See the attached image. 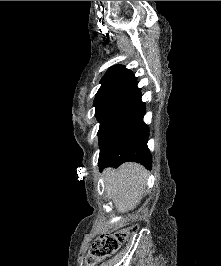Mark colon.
Masks as SVG:
<instances>
[{"label":"colon","mask_w":221,"mask_h":266,"mask_svg":"<svg viewBox=\"0 0 221 266\" xmlns=\"http://www.w3.org/2000/svg\"><path fill=\"white\" fill-rule=\"evenodd\" d=\"M137 226L131 225L123 227L111 233L100 235L91 244L87 256V264L94 266L101 259L116 252L127 238L136 232Z\"/></svg>","instance_id":"colon-1"}]
</instances>
